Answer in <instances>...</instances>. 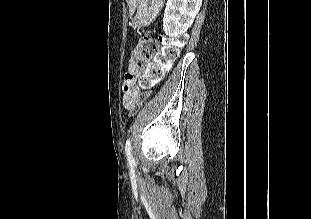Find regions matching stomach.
Instances as JSON below:
<instances>
[{
	"label": "stomach",
	"instance_id": "1",
	"mask_svg": "<svg viewBox=\"0 0 311 219\" xmlns=\"http://www.w3.org/2000/svg\"><path fill=\"white\" fill-rule=\"evenodd\" d=\"M163 0H139L137 13L134 17V24L138 27L150 25L158 15Z\"/></svg>",
	"mask_w": 311,
	"mask_h": 219
}]
</instances>
